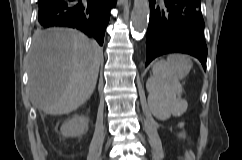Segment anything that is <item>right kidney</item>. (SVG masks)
Wrapping results in <instances>:
<instances>
[{
    "label": "right kidney",
    "instance_id": "ca27d5eb",
    "mask_svg": "<svg viewBox=\"0 0 242 160\" xmlns=\"http://www.w3.org/2000/svg\"><path fill=\"white\" fill-rule=\"evenodd\" d=\"M88 130V118L83 115H75L64 122L60 128L61 134L65 137H77Z\"/></svg>",
    "mask_w": 242,
    "mask_h": 160
}]
</instances>
